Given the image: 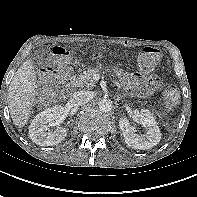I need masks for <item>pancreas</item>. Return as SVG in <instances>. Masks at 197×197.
<instances>
[{"label": "pancreas", "mask_w": 197, "mask_h": 197, "mask_svg": "<svg viewBox=\"0 0 197 197\" xmlns=\"http://www.w3.org/2000/svg\"><path fill=\"white\" fill-rule=\"evenodd\" d=\"M99 73L98 69H88L87 71L73 76L71 78V84L73 87H87L92 88L95 86V81L93 80V74Z\"/></svg>", "instance_id": "pancreas-1"}]
</instances>
